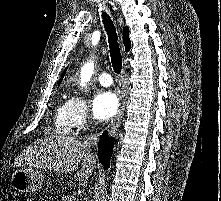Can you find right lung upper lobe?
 <instances>
[{
  "instance_id": "cb5924a9",
  "label": "right lung upper lobe",
  "mask_w": 221,
  "mask_h": 201,
  "mask_svg": "<svg viewBox=\"0 0 221 201\" xmlns=\"http://www.w3.org/2000/svg\"><path fill=\"white\" fill-rule=\"evenodd\" d=\"M123 42H124V46H125V51L126 52L129 51L130 48H131V42H130V39H129V28L128 27L124 28V31H123ZM65 72H66V70L63 72V74L61 76V79L59 80V83L61 82L62 78L64 77Z\"/></svg>"
}]
</instances>
